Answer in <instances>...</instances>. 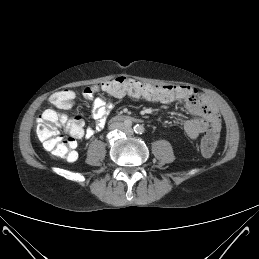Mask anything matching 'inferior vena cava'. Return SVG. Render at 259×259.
Wrapping results in <instances>:
<instances>
[{
    "label": "inferior vena cava",
    "instance_id": "602c4592",
    "mask_svg": "<svg viewBox=\"0 0 259 259\" xmlns=\"http://www.w3.org/2000/svg\"><path fill=\"white\" fill-rule=\"evenodd\" d=\"M111 128H112V129L116 128V125H114V124H113V125H111Z\"/></svg>",
    "mask_w": 259,
    "mask_h": 259
}]
</instances>
